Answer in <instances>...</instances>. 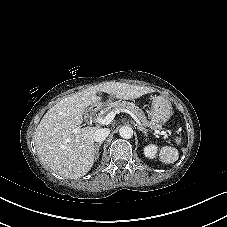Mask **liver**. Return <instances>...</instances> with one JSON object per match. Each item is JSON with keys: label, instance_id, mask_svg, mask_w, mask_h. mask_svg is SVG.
<instances>
[{"label": "liver", "instance_id": "obj_1", "mask_svg": "<svg viewBox=\"0 0 227 227\" xmlns=\"http://www.w3.org/2000/svg\"><path fill=\"white\" fill-rule=\"evenodd\" d=\"M98 92L118 99H137L153 90L125 83L109 82L70 95L50 108L35 132L37 153L43 164L64 178L78 179L92 168L95 159V127L80 128L85 109L98 103ZM79 128L78 133H73Z\"/></svg>", "mask_w": 227, "mask_h": 227}]
</instances>
